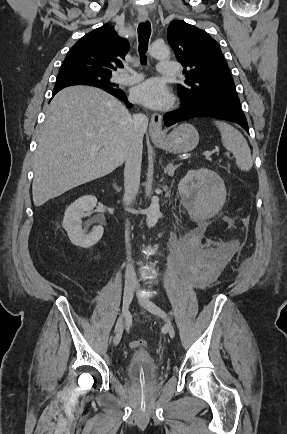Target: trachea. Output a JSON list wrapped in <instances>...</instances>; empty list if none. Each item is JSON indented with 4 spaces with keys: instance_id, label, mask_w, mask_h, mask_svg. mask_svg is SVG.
Returning a JSON list of instances; mask_svg holds the SVG:
<instances>
[{
    "instance_id": "1",
    "label": "trachea",
    "mask_w": 287,
    "mask_h": 434,
    "mask_svg": "<svg viewBox=\"0 0 287 434\" xmlns=\"http://www.w3.org/2000/svg\"><path fill=\"white\" fill-rule=\"evenodd\" d=\"M151 35V24L146 21L138 26L139 54L142 64L146 63L145 53L148 48V42Z\"/></svg>"
}]
</instances>
